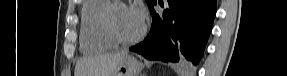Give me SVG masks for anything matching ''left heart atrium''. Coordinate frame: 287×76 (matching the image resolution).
<instances>
[{
    "mask_svg": "<svg viewBox=\"0 0 287 76\" xmlns=\"http://www.w3.org/2000/svg\"><path fill=\"white\" fill-rule=\"evenodd\" d=\"M131 11L135 15V17L139 20V22L143 24L146 19V11L143 5L137 2L131 6Z\"/></svg>",
    "mask_w": 287,
    "mask_h": 76,
    "instance_id": "left-heart-atrium-1",
    "label": "left heart atrium"
}]
</instances>
